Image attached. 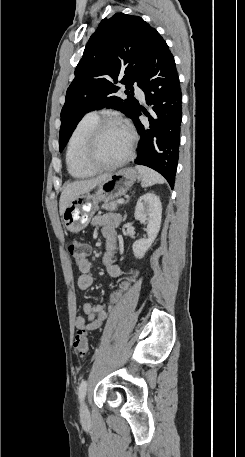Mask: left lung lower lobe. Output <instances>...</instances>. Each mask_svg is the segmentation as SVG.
<instances>
[{
	"mask_svg": "<svg viewBox=\"0 0 245 457\" xmlns=\"http://www.w3.org/2000/svg\"><path fill=\"white\" fill-rule=\"evenodd\" d=\"M139 87L153 111L150 114L139 105L131 117L141 136L134 163L158 171L173 188L179 159L182 95L174 57L163 39L154 47ZM143 113L149 118L145 126L139 120Z\"/></svg>",
	"mask_w": 245,
	"mask_h": 457,
	"instance_id": "obj_1",
	"label": "left lung lower lobe"
}]
</instances>
